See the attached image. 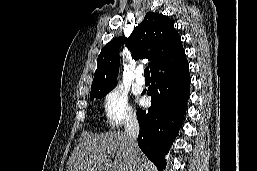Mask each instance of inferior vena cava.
I'll return each mask as SVG.
<instances>
[{
  "label": "inferior vena cava",
  "mask_w": 257,
  "mask_h": 171,
  "mask_svg": "<svg viewBox=\"0 0 257 171\" xmlns=\"http://www.w3.org/2000/svg\"><path fill=\"white\" fill-rule=\"evenodd\" d=\"M125 132L130 141V158H131V171H143L139 158V148L137 144V137L139 134V123L136 115H130L125 123Z\"/></svg>",
  "instance_id": "1"
}]
</instances>
